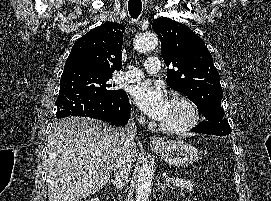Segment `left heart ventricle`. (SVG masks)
<instances>
[{
  "label": "left heart ventricle",
  "mask_w": 271,
  "mask_h": 201,
  "mask_svg": "<svg viewBox=\"0 0 271 201\" xmlns=\"http://www.w3.org/2000/svg\"><path fill=\"white\" fill-rule=\"evenodd\" d=\"M187 119V112L184 107L179 104L171 103L166 118L162 121L169 126H177L183 124Z\"/></svg>",
  "instance_id": "left-heart-ventricle-1"
}]
</instances>
